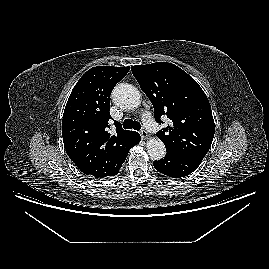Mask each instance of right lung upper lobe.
Returning <instances> with one entry per match:
<instances>
[{"mask_svg": "<svg viewBox=\"0 0 269 269\" xmlns=\"http://www.w3.org/2000/svg\"><path fill=\"white\" fill-rule=\"evenodd\" d=\"M130 67L100 66L89 69L77 82L67 101L62 136L70 159L86 175L95 178L118 174L123 147L135 131L115 121L116 134L108 132L110 95Z\"/></svg>", "mask_w": 269, "mask_h": 269, "instance_id": "right-lung-upper-lobe-1", "label": "right lung upper lobe"}]
</instances>
